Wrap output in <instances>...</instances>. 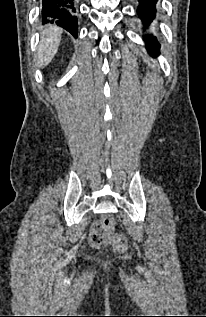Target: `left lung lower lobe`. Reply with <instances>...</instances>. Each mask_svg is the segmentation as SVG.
Returning a JSON list of instances; mask_svg holds the SVG:
<instances>
[{
	"label": "left lung lower lobe",
	"instance_id": "0a47b994",
	"mask_svg": "<svg viewBox=\"0 0 206 317\" xmlns=\"http://www.w3.org/2000/svg\"><path fill=\"white\" fill-rule=\"evenodd\" d=\"M139 7L137 9L138 16L143 21L145 28L153 21L156 15V3L158 0H138ZM146 47L151 56H158L160 44L156 37L149 35L145 37Z\"/></svg>",
	"mask_w": 206,
	"mask_h": 317
}]
</instances>
